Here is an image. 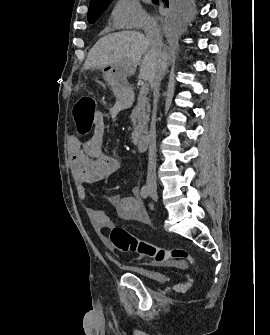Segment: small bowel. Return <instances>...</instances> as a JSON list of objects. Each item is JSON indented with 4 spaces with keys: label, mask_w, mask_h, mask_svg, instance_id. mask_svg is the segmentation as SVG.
<instances>
[{
    "label": "small bowel",
    "mask_w": 270,
    "mask_h": 335,
    "mask_svg": "<svg viewBox=\"0 0 270 335\" xmlns=\"http://www.w3.org/2000/svg\"><path fill=\"white\" fill-rule=\"evenodd\" d=\"M104 133V116L98 112L95 116L92 136L83 145L77 139H72L70 145V171L77 195L82 200L88 199L85 185L106 180L114 173L124 169V164L120 159L102 152ZM109 202L118 218L144 224L149 222L148 213L139 198L137 187L132 189L130 196L111 195ZM86 210L94 228L101 235H105L106 231L113 227V219L106 210L92 206H87Z\"/></svg>",
    "instance_id": "1"
}]
</instances>
